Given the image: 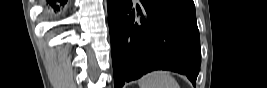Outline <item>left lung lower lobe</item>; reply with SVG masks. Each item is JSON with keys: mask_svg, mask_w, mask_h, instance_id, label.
Returning <instances> with one entry per match:
<instances>
[{"mask_svg": "<svg viewBox=\"0 0 267 88\" xmlns=\"http://www.w3.org/2000/svg\"><path fill=\"white\" fill-rule=\"evenodd\" d=\"M136 13V16H135ZM114 87L156 69L186 74L193 85L200 67L195 10L164 0H108Z\"/></svg>", "mask_w": 267, "mask_h": 88, "instance_id": "obj_1", "label": "left lung lower lobe"}]
</instances>
